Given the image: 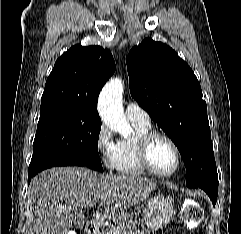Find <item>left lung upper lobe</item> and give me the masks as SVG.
Instances as JSON below:
<instances>
[{
    "mask_svg": "<svg viewBox=\"0 0 241 234\" xmlns=\"http://www.w3.org/2000/svg\"><path fill=\"white\" fill-rule=\"evenodd\" d=\"M126 63L131 95L178 147L187 186L218 190L207 106L189 65L151 38L135 46Z\"/></svg>",
    "mask_w": 241,
    "mask_h": 234,
    "instance_id": "5c2ea615",
    "label": "left lung upper lobe"
}]
</instances>
